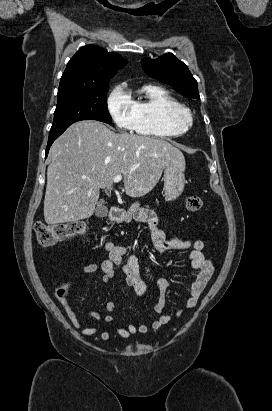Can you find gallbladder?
<instances>
[{"instance_id":"gallbladder-1","label":"gallbladder","mask_w":272,"mask_h":411,"mask_svg":"<svg viewBox=\"0 0 272 411\" xmlns=\"http://www.w3.org/2000/svg\"><path fill=\"white\" fill-rule=\"evenodd\" d=\"M108 214V209L104 204V200H101L98 204H97V208L95 210V215L97 217L103 218L106 217Z\"/></svg>"}]
</instances>
